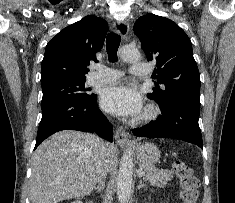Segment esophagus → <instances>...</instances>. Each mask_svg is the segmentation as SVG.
<instances>
[{"mask_svg":"<svg viewBox=\"0 0 235 203\" xmlns=\"http://www.w3.org/2000/svg\"><path fill=\"white\" fill-rule=\"evenodd\" d=\"M114 29L117 34H119L123 39H125L129 32V25L126 21H115ZM115 140L119 146H129L131 145V140L128 133L121 127H117L115 130Z\"/></svg>","mask_w":235,"mask_h":203,"instance_id":"obj_1","label":"esophagus"}]
</instances>
